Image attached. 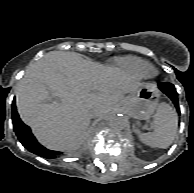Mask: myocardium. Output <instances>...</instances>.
Segmentation results:
<instances>
[{"label":"myocardium","instance_id":"f54148a6","mask_svg":"<svg viewBox=\"0 0 194 193\" xmlns=\"http://www.w3.org/2000/svg\"><path fill=\"white\" fill-rule=\"evenodd\" d=\"M156 75V70L152 67L148 73H147V78L154 77Z\"/></svg>","mask_w":194,"mask_h":193}]
</instances>
